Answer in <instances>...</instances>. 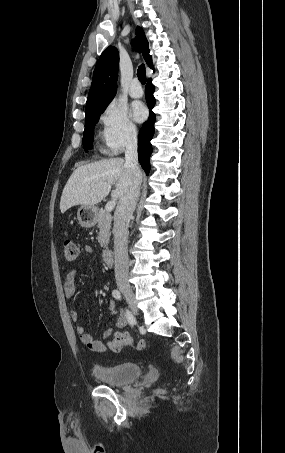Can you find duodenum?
I'll list each match as a JSON object with an SVG mask.
<instances>
[{
	"label": "duodenum",
	"instance_id": "obj_1",
	"mask_svg": "<svg viewBox=\"0 0 285 453\" xmlns=\"http://www.w3.org/2000/svg\"><path fill=\"white\" fill-rule=\"evenodd\" d=\"M103 260L105 263L110 264L114 260V252L110 248H106L102 253Z\"/></svg>",
	"mask_w": 285,
	"mask_h": 453
}]
</instances>
